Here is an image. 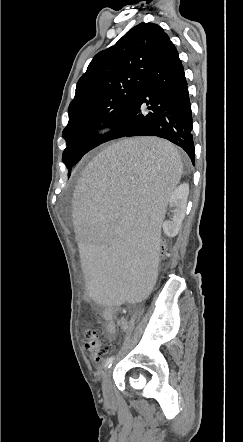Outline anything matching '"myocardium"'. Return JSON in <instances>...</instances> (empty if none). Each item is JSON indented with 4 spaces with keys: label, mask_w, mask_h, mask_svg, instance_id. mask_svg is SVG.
<instances>
[{
    "label": "myocardium",
    "mask_w": 243,
    "mask_h": 442,
    "mask_svg": "<svg viewBox=\"0 0 243 442\" xmlns=\"http://www.w3.org/2000/svg\"><path fill=\"white\" fill-rule=\"evenodd\" d=\"M108 131H109V128H108V127H105V126H98V127H95V128L91 131L90 136H91L92 138H94V139H97V138H100V137L104 136L105 134H107Z\"/></svg>",
    "instance_id": "myocardium-1"
}]
</instances>
